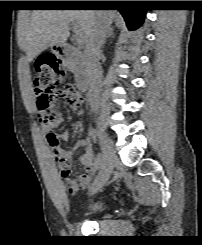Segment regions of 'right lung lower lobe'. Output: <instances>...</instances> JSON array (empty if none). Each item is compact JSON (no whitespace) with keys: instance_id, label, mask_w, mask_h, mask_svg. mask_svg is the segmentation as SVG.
Instances as JSON below:
<instances>
[{"instance_id":"obj_1","label":"right lung lower lobe","mask_w":202,"mask_h":245,"mask_svg":"<svg viewBox=\"0 0 202 245\" xmlns=\"http://www.w3.org/2000/svg\"><path fill=\"white\" fill-rule=\"evenodd\" d=\"M79 5L82 7H117L129 30L139 28L146 15V10L139 8L135 1H81Z\"/></svg>"}]
</instances>
